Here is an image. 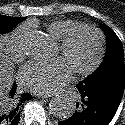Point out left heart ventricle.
<instances>
[{
    "mask_svg": "<svg viewBox=\"0 0 125 125\" xmlns=\"http://www.w3.org/2000/svg\"><path fill=\"white\" fill-rule=\"evenodd\" d=\"M97 48V37L92 32L84 31L78 35L66 53H62L58 48V54L73 70L88 65L95 57Z\"/></svg>",
    "mask_w": 125,
    "mask_h": 125,
    "instance_id": "1",
    "label": "left heart ventricle"
}]
</instances>
